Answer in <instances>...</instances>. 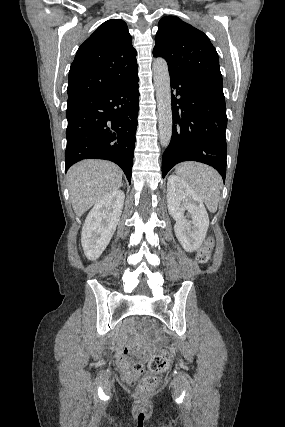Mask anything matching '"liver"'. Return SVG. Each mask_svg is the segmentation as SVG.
I'll return each instance as SVG.
<instances>
[{
    "label": "liver",
    "instance_id": "liver-1",
    "mask_svg": "<svg viewBox=\"0 0 285 427\" xmlns=\"http://www.w3.org/2000/svg\"><path fill=\"white\" fill-rule=\"evenodd\" d=\"M122 170L104 160H83L67 172V183L74 212L78 217L100 199L122 186Z\"/></svg>",
    "mask_w": 285,
    "mask_h": 427
}]
</instances>
